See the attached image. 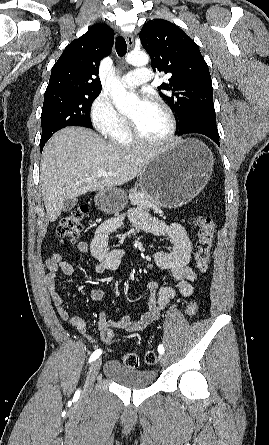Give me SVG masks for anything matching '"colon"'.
<instances>
[{
	"label": "colon",
	"instance_id": "5ec220e1",
	"mask_svg": "<svg viewBox=\"0 0 269 445\" xmlns=\"http://www.w3.org/2000/svg\"><path fill=\"white\" fill-rule=\"evenodd\" d=\"M88 208L80 206L68 212L62 217L57 226V235L61 242H75L83 231L84 219L87 215ZM195 226L199 230L198 240L196 243L195 262L196 267L201 272H206L210 261L215 236V222L209 216H198L194 220ZM198 311L197 302H190L186 306L188 316H194ZM114 338L112 332H107L104 336V342L110 344ZM144 361L148 365H154L158 361V357L154 351H147L144 355ZM123 363L130 368H137L140 364V358L135 352H128L123 356Z\"/></svg>",
	"mask_w": 269,
	"mask_h": 445
}]
</instances>
